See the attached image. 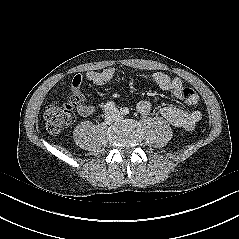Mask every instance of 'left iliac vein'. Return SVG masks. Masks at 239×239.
Instances as JSON below:
<instances>
[{
    "label": "left iliac vein",
    "mask_w": 239,
    "mask_h": 239,
    "mask_svg": "<svg viewBox=\"0 0 239 239\" xmlns=\"http://www.w3.org/2000/svg\"><path fill=\"white\" fill-rule=\"evenodd\" d=\"M111 113L113 114V115H115V118L116 119H119L120 117H119V111H118V109H113L112 111H111Z\"/></svg>",
    "instance_id": "left-iliac-vein-1"
}]
</instances>
